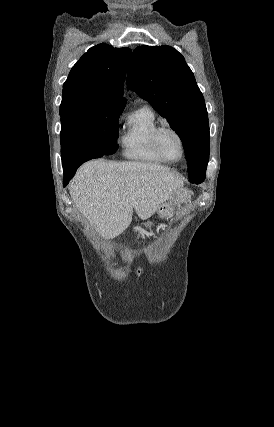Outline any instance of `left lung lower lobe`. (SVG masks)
I'll return each instance as SVG.
<instances>
[{
	"instance_id": "obj_1",
	"label": "left lung lower lobe",
	"mask_w": 274,
	"mask_h": 427,
	"mask_svg": "<svg viewBox=\"0 0 274 427\" xmlns=\"http://www.w3.org/2000/svg\"><path fill=\"white\" fill-rule=\"evenodd\" d=\"M204 179H205V176L203 175H199V176L189 175V181L192 183L200 184L204 181Z\"/></svg>"
}]
</instances>
